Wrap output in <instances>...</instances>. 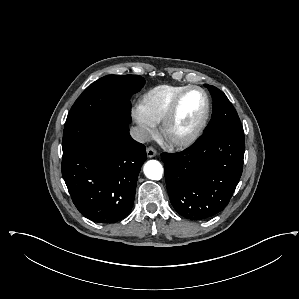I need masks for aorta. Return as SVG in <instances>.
<instances>
[{
    "label": "aorta",
    "instance_id": "obj_1",
    "mask_svg": "<svg viewBox=\"0 0 299 299\" xmlns=\"http://www.w3.org/2000/svg\"><path fill=\"white\" fill-rule=\"evenodd\" d=\"M144 174L148 179L159 180L163 175V167L157 160H149L143 168Z\"/></svg>",
    "mask_w": 299,
    "mask_h": 299
}]
</instances>
